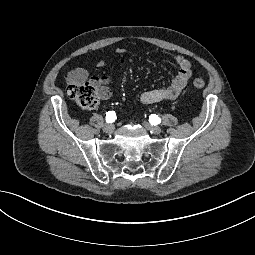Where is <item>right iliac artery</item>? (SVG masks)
<instances>
[{
  "label": "right iliac artery",
  "instance_id": "1",
  "mask_svg": "<svg viewBox=\"0 0 255 255\" xmlns=\"http://www.w3.org/2000/svg\"><path fill=\"white\" fill-rule=\"evenodd\" d=\"M116 119V113L115 111H109L106 113V122L112 123Z\"/></svg>",
  "mask_w": 255,
  "mask_h": 255
}]
</instances>
